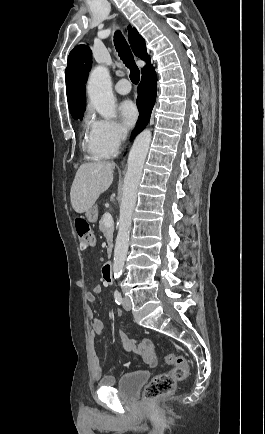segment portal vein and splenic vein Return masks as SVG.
<instances>
[{"instance_id":"1","label":"portal vein and splenic vein","mask_w":265,"mask_h":434,"mask_svg":"<svg viewBox=\"0 0 265 434\" xmlns=\"http://www.w3.org/2000/svg\"><path fill=\"white\" fill-rule=\"evenodd\" d=\"M103 222H104L105 226H107V228H109V226H112L113 218H112L111 214H104Z\"/></svg>"}]
</instances>
